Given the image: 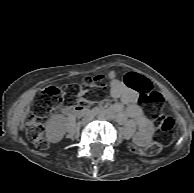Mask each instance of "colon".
<instances>
[{"label": "colon", "instance_id": "obj_1", "mask_svg": "<svg viewBox=\"0 0 194 193\" xmlns=\"http://www.w3.org/2000/svg\"><path fill=\"white\" fill-rule=\"evenodd\" d=\"M125 83L138 91V102L142 104L157 125L159 133L157 138L145 148L133 147L132 151L143 156H155L160 153L165 142L172 140L175 136V122L162 111L163 97L154 90H151L147 81L136 75L128 74ZM106 87L105 78L102 75L87 79L81 85H71L67 88V103L78 101H97L103 96ZM64 101V96L59 87L48 86L41 95L34 111L31 113L27 124L26 132L28 139L38 148L46 149L48 141L44 136L45 121L48 116L57 110Z\"/></svg>", "mask_w": 194, "mask_h": 193}]
</instances>
